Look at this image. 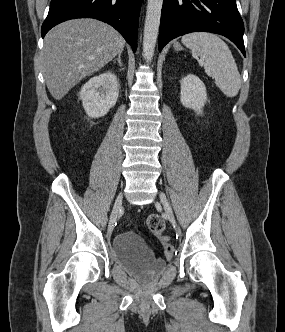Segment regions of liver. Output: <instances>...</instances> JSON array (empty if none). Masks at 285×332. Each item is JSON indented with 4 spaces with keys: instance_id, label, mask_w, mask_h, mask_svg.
I'll use <instances>...</instances> for the list:
<instances>
[{
    "instance_id": "1",
    "label": "liver",
    "mask_w": 285,
    "mask_h": 332,
    "mask_svg": "<svg viewBox=\"0 0 285 332\" xmlns=\"http://www.w3.org/2000/svg\"><path fill=\"white\" fill-rule=\"evenodd\" d=\"M125 40L95 19H72L52 28L44 40L43 74L47 88L61 100L77 83L123 52Z\"/></svg>"
}]
</instances>
